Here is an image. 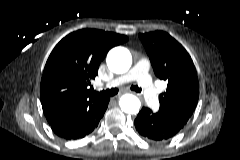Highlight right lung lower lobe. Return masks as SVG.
I'll use <instances>...</instances> for the list:
<instances>
[{
	"instance_id": "98d812e1",
	"label": "right lung lower lobe",
	"mask_w": 240,
	"mask_h": 160,
	"mask_svg": "<svg viewBox=\"0 0 240 160\" xmlns=\"http://www.w3.org/2000/svg\"><path fill=\"white\" fill-rule=\"evenodd\" d=\"M109 100L106 97L95 99L78 111L66 113L50 124L51 129L66 140L83 138L98 126Z\"/></svg>"
}]
</instances>
